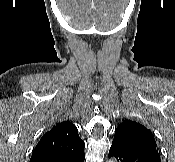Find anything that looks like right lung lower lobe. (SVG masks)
Wrapping results in <instances>:
<instances>
[{
	"instance_id": "98d812e1",
	"label": "right lung lower lobe",
	"mask_w": 175,
	"mask_h": 162,
	"mask_svg": "<svg viewBox=\"0 0 175 162\" xmlns=\"http://www.w3.org/2000/svg\"><path fill=\"white\" fill-rule=\"evenodd\" d=\"M85 154L84 152L76 156H53L49 157L41 162H84Z\"/></svg>"
}]
</instances>
